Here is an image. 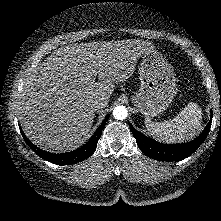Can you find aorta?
<instances>
[{"label": "aorta", "instance_id": "762f6f07", "mask_svg": "<svg viewBox=\"0 0 221 221\" xmlns=\"http://www.w3.org/2000/svg\"><path fill=\"white\" fill-rule=\"evenodd\" d=\"M128 115L127 108L123 105L116 106L113 110V117L117 120H124Z\"/></svg>", "mask_w": 221, "mask_h": 221}]
</instances>
